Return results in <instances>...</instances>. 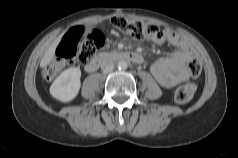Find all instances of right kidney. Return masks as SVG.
Returning a JSON list of instances; mask_svg holds the SVG:
<instances>
[{"mask_svg": "<svg viewBox=\"0 0 238 158\" xmlns=\"http://www.w3.org/2000/svg\"><path fill=\"white\" fill-rule=\"evenodd\" d=\"M81 70L71 67L63 71L50 86V94L61 102H70L78 94L81 82Z\"/></svg>", "mask_w": 238, "mask_h": 158, "instance_id": "obj_1", "label": "right kidney"}]
</instances>
